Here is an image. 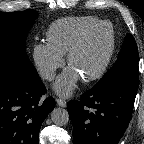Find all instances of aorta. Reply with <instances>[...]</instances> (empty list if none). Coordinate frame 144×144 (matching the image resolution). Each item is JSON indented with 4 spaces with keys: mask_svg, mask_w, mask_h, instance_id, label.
I'll use <instances>...</instances> for the list:
<instances>
[{
    "mask_svg": "<svg viewBox=\"0 0 144 144\" xmlns=\"http://www.w3.org/2000/svg\"><path fill=\"white\" fill-rule=\"evenodd\" d=\"M51 118L53 123L58 126L66 125L69 122L68 111L64 108H55L51 113Z\"/></svg>",
    "mask_w": 144,
    "mask_h": 144,
    "instance_id": "aorta-1",
    "label": "aorta"
}]
</instances>
